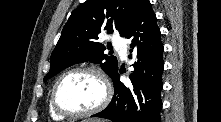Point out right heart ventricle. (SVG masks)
Returning a JSON list of instances; mask_svg holds the SVG:
<instances>
[{"label": "right heart ventricle", "mask_w": 221, "mask_h": 122, "mask_svg": "<svg viewBox=\"0 0 221 122\" xmlns=\"http://www.w3.org/2000/svg\"><path fill=\"white\" fill-rule=\"evenodd\" d=\"M48 108H49L50 116H51L54 120H62V119H63V116L59 115V114H58L57 112H55V110L52 108V105H51V102H50V101H49Z\"/></svg>", "instance_id": "right-heart-ventricle-1"}]
</instances>
